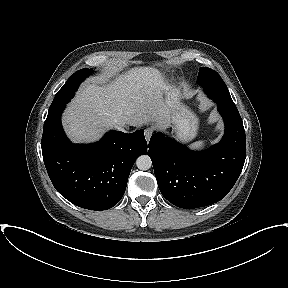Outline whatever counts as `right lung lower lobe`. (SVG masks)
<instances>
[{"mask_svg": "<svg viewBox=\"0 0 288 288\" xmlns=\"http://www.w3.org/2000/svg\"><path fill=\"white\" fill-rule=\"evenodd\" d=\"M64 106L48 112L41 141L46 170L55 189L71 203L107 210L124 195L135 160L147 153L144 130L110 131L94 144H72L61 124Z\"/></svg>", "mask_w": 288, "mask_h": 288, "instance_id": "obj_1", "label": "right lung lower lobe"}]
</instances>
